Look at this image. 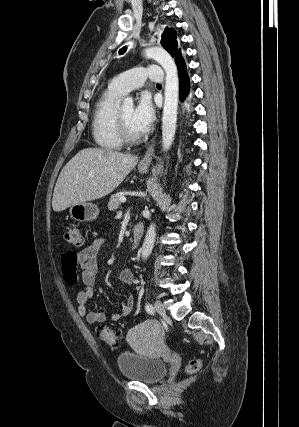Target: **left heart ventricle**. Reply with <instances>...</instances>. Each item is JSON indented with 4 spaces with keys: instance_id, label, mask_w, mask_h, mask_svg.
Returning a JSON list of instances; mask_svg holds the SVG:
<instances>
[{
    "instance_id": "obj_1",
    "label": "left heart ventricle",
    "mask_w": 299,
    "mask_h": 427,
    "mask_svg": "<svg viewBox=\"0 0 299 427\" xmlns=\"http://www.w3.org/2000/svg\"><path fill=\"white\" fill-rule=\"evenodd\" d=\"M121 113L130 132L133 134H141V132L136 128V126L133 123V107L122 106Z\"/></svg>"
}]
</instances>
